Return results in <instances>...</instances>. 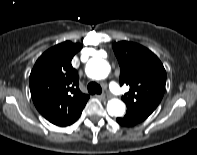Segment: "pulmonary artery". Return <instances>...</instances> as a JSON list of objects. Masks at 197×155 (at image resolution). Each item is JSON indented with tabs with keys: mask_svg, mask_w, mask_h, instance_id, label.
Segmentation results:
<instances>
[{
	"mask_svg": "<svg viewBox=\"0 0 197 155\" xmlns=\"http://www.w3.org/2000/svg\"><path fill=\"white\" fill-rule=\"evenodd\" d=\"M110 88H111V90H112L114 93H116V94H119V93H120V89H119L118 85H117L115 82H112V83L110 84Z\"/></svg>",
	"mask_w": 197,
	"mask_h": 155,
	"instance_id": "obj_1",
	"label": "pulmonary artery"
}]
</instances>
